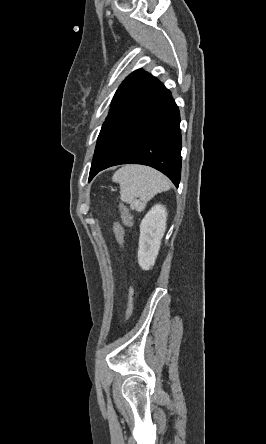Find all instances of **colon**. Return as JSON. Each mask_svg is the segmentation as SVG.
<instances>
[{"label":"colon","mask_w":266,"mask_h":444,"mask_svg":"<svg viewBox=\"0 0 266 444\" xmlns=\"http://www.w3.org/2000/svg\"><path fill=\"white\" fill-rule=\"evenodd\" d=\"M122 212H123V223L116 222L113 227L114 238L117 244V256L119 255L121 248L123 246L125 227L130 228L132 226L131 215L128 213L125 207H122ZM133 300H134V289L133 286H130L126 301V320H128L132 314Z\"/></svg>","instance_id":"5ec220e1"}]
</instances>
